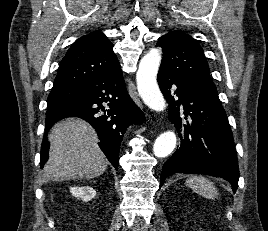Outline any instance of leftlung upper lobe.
Segmentation results:
<instances>
[{"mask_svg": "<svg viewBox=\"0 0 268 231\" xmlns=\"http://www.w3.org/2000/svg\"><path fill=\"white\" fill-rule=\"evenodd\" d=\"M158 46L163 51L160 69L198 86L220 102L210 78L207 60L197 40L184 32L170 31L158 39Z\"/></svg>", "mask_w": 268, "mask_h": 231, "instance_id": "1", "label": "left lung upper lobe"}]
</instances>
